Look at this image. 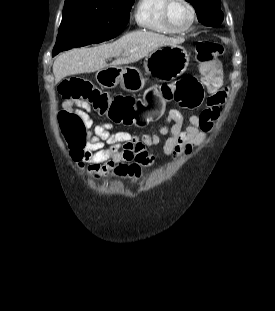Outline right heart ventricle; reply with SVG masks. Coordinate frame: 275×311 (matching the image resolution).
Returning a JSON list of instances; mask_svg holds the SVG:
<instances>
[{"label": "right heart ventricle", "instance_id": "obj_1", "mask_svg": "<svg viewBox=\"0 0 275 311\" xmlns=\"http://www.w3.org/2000/svg\"><path fill=\"white\" fill-rule=\"evenodd\" d=\"M166 0H138L134 19L137 26L143 30L158 34H174L163 20V7Z\"/></svg>", "mask_w": 275, "mask_h": 311}]
</instances>
